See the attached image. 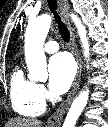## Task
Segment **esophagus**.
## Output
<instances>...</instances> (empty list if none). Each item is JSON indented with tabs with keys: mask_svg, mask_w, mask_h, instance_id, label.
Wrapping results in <instances>:
<instances>
[{
	"mask_svg": "<svg viewBox=\"0 0 108 127\" xmlns=\"http://www.w3.org/2000/svg\"><path fill=\"white\" fill-rule=\"evenodd\" d=\"M59 9H60V14L63 22L67 26L69 33H70V45H71V50L72 53L76 59L77 65H78V70L77 74L75 76V79L73 81L72 87L70 92L68 93V96L66 99L60 104V106L57 108V110L48 118L47 120V126L48 127H59L62 119L68 110L71 101L73 100L79 85H80V80H81V74H82V61L80 54L78 52L77 46H76V41H75V34L74 30L70 24L69 18H68V1L67 0H57Z\"/></svg>",
	"mask_w": 108,
	"mask_h": 127,
	"instance_id": "esophagus-1",
	"label": "esophagus"
}]
</instances>
